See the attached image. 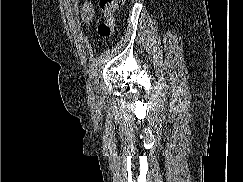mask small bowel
<instances>
[{"label": "small bowel", "mask_w": 243, "mask_h": 182, "mask_svg": "<svg viewBox=\"0 0 243 182\" xmlns=\"http://www.w3.org/2000/svg\"><path fill=\"white\" fill-rule=\"evenodd\" d=\"M81 16L84 22L89 23L94 18V8L90 2H83L81 6Z\"/></svg>", "instance_id": "1"}]
</instances>
